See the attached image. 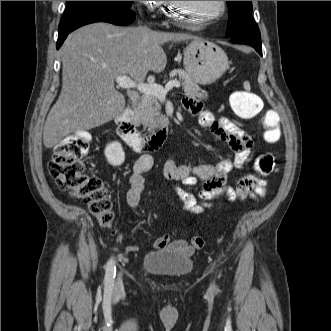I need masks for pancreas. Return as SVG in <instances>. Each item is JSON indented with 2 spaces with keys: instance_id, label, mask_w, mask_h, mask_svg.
Here are the masks:
<instances>
[{
  "instance_id": "obj_1",
  "label": "pancreas",
  "mask_w": 331,
  "mask_h": 331,
  "mask_svg": "<svg viewBox=\"0 0 331 331\" xmlns=\"http://www.w3.org/2000/svg\"><path fill=\"white\" fill-rule=\"evenodd\" d=\"M174 73L178 74L185 95L191 98H205L206 94L200 92L198 84L191 79L188 73L183 70H175ZM160 109L161 105L157 96L144 94L134 109L133 123L135 125L142 124L148 131L161 127L165 117L161 114Z\"/></svg>"
}]
</instances>
